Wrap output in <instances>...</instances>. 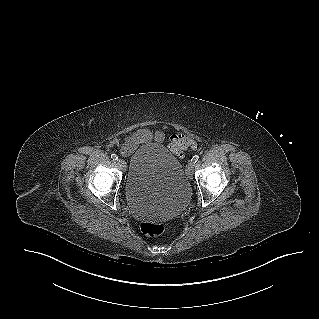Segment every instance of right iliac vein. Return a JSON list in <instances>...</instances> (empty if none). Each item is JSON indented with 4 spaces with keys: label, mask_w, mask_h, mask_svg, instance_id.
I'll return each instance as SVG.
<instances>
[{
    "label": "right iliac vein",
    "mask_w": 319,
    "mask_h": 319,
    "mask_svg": "<svg viewBox=\"0 0 319 319\" xmlns=\"http://www.w3.org/2000/svg\"><path fill=\"white\" fill-rule=\"evenodd\" d=\"M117 163L123 171L126 170V162L123 159H118Z\"/></svg>",
    "instance_id": "obj_1"
}]
</instances>
